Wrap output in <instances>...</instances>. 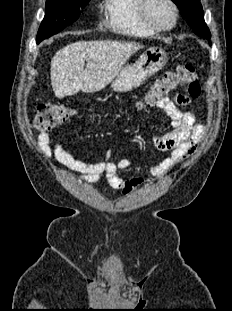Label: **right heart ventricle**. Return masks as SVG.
I'll list each match as a JSON object with an SVG mask.
<instances>
[{
	"instance_id": "right-heart-ventricle-1",
	"label": "right heart ventricle",
	"mask_w": 232,
	"mask_h": 311,
	"mask_svg": "<svg viewBox=\"0 0 232 311\" xmlns=\"http://www.w3.org/2000/svg\"><path fill=\"white\" fill-rule=\"evenodd\" d=\"M139 0H105L106 24L113 31L130 37H148L155 31L146 27L137 12Z\"/></svg>"
}]
</instances>
